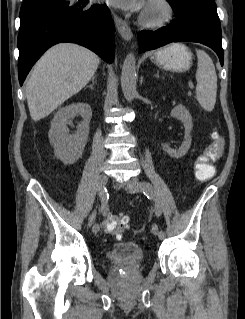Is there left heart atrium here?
Segmentation results:
<instances>
[{
  "label": "left heart atrium",
  "instance_id": "39dd6f15",
  "mask_svg": "<svg viewBox=\"0 0 245 319\" xmlns=\"http://www.w3.org/2000/svg\"><path fill=\"white\" fill-rule=\"evenodd\" d=\"M108 2L124 10L137 11L144 7L143 0H108Z\"/></svg>",
  "mask_w": 245,
  "mask_h": 319
}]
</instances>
